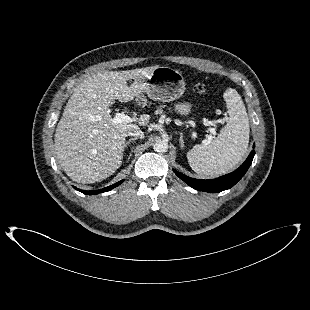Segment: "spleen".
<instances>
[{"label": "spleen", "instance_id": "3e777b00", "mask_svg": "<svg viewBox=\"0 0 310 310\" xmlns=\"http://www.w3.org/2000/svg\"><path fill=\"white\" fill-rule=\"evenodd\" d=\"M229 121L210 142L195 145L187 152L190 167L197 174L221 175L232 170L244 157L250 126L245 105L235 89L224 92Z\"/></svg>", "mask_w": 310, "mask_h": 310}]
</instances>
